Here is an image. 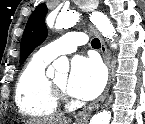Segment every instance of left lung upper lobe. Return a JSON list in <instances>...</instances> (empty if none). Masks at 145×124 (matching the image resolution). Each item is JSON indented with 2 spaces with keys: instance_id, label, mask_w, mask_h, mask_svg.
Wrapping results in <instances>:
<instances>
[{
  "instance_id": "5c2ea615",
  "label": "left lung upper lobe",
  "mask_w": 145,
  "mask_h": 124,
  "mask_svg": "<svg viewBox=\"0 0 145 124\" xmlns=\"http://www.w3.org/2000/svg\"><path fill=\"white\" fill-rule=\"evenodd\" d=\"M47 12L46 5L40 4L29 17L21 40L20 63H23L34 48L47 37V27L45 25Z\"/></svg>"
}]
</instances>
